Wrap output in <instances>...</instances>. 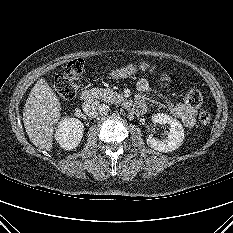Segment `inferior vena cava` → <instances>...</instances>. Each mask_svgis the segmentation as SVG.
I'll use <instances>...</instances> for the list:
<instances>
[{
	"label": "inferior vena cava",
	"instance_id": "obj_1",
	"mask_svg": "<svg viewBox=\"0 0 233 233\" xmlns=\"http://www.w3.org/2000/svg\"><path fill=\"white\" fill-rule=\"evenodd\" d=\"M83 111L91 118H95L98 114H101L102 104L97 100H89L83 103Z\"/></svg>",
	"mask_w": 233,
	"mask_h": 233
}]
</instances>
